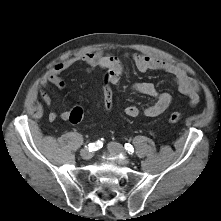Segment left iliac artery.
<instances>
[{"label": "left iliac artery", "mask_w": 221, "mask_h": 221, "mask_svg": "<svg viewBox=\"0 0 221 221\" xmlns=\"http://www.w3.org/2000/svg\"><path fill=\"white\" fill-rule=\"evenodd\" d=\"M125 149L129 152V153H133L134 152V148L131 144L126 143L125 144Z\"/></svg>", "instance_id": "1"}]
</instances>
